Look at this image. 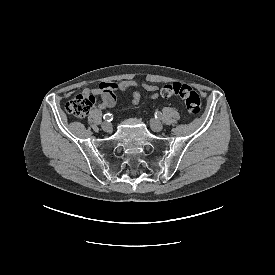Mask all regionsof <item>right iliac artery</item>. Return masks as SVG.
I'll use <instances>...</instances> for the list:
<instances>
[{"mask_svg": "<svg viewBox=\"0 0 275 275\" xmlns=\"http://www.w3.org/2000/svg\"><path fill=\"white\" fill-rule=\"evenodd\" d=\"M103 119L106 121H111L113 119V116H112V114L108 113L103 116Z\"/></svg>", "mask_w": 275, "mask_h": 275, "instance_id": "obj_1", "label": "right iliac artery"}]
</instances>
